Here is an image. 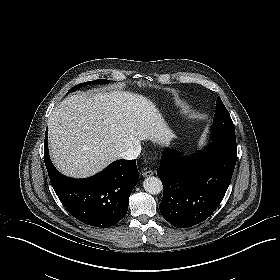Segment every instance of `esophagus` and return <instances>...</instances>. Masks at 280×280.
<instances>
[{"instance_id": "34e87169", "label": "esophagus", "mask_w": 280, "mask_h": 280, "mask_svg": "<svg viewBox=\"0 0 280 280\" xmlns=\"http://www.w3.org/2000/svg\"><path fill=\"white\" fill-rule=\"evenodd\" d=\"M154 174V171L153 170H148V171H144L142 172V177H150Z\"/></svg>"}]
</instances>
